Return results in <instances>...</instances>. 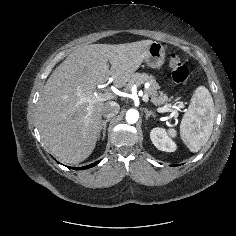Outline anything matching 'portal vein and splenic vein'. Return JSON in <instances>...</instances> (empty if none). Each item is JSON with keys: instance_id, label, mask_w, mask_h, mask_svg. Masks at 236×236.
<instances>
[{"instance_id": "portal-vein-and-splenic-vein-1", "label": "portal vein and splenic vein", "mask_w": 236, "mask_h": 236, "mask_svg": "<svg viewBox=\"0 0 236 236\" xmlns=\"http://www.w3.org/2000/svg\"><path fill=\"white\" fill-rule=\"evenodd\" d=\"M114 97V94L112 92H105V93H99V94H95L93 98L91 99H87V101L89 103H96V102H103V101H107L110 100ZM143 101L145 103H147L149 101V97L147 94L143 95ZM157 112L159 113H164V112H171V116H178V112L176 110H172L171 108H169L168 106H163V107H159L156 109ZM89 115L91 114V111H89L88 113Z\"/></svg>"}]
</instances>
